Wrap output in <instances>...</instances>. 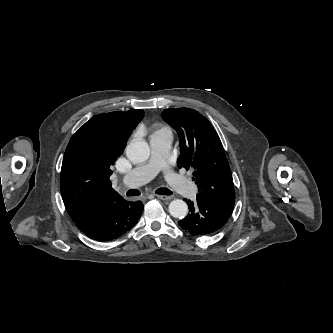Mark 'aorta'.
Returning <instances> with one entry per match:
<instances>
[{"label":"aorta","instance_id":"obj_1","mask_svg":"<svg viewBox=\"0 0 333 333\" xmlns=\"http://www.w3.org/2000/svg\"><path fill=\"white\" fill-rule=\"evenodd\" d=\"M126 155L134 163L144 162L150 156L149 145L142 140H132L127 145ZM169 213L175 218H184L188 213V206L183 200L175 199L169 204Z\"/></svg>","mask_w":333,"mask_h":333}]
</instances>
